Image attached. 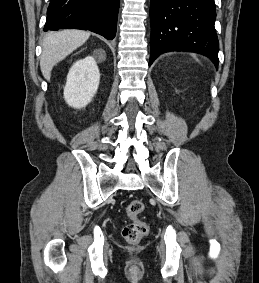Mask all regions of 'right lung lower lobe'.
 <instances>
[{
  "label": "right lung lower lobe",
  "instance_id": "1",
  "mask_svg": "<svg viewBox=\"0 0 259 283\" xmlns=\"http://www.w3.org/2000/svg\"><path fill=\"white\" fill-rule=\"evenodd\" d=\"M120 0H51L44 31L90 30L111 40L116 35Z\"/></svg>",
  "mask_w": 259,
  "mask_h": 283
}]
</instances>
